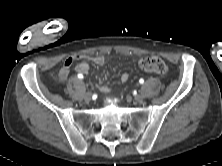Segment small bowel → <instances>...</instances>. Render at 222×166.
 <instances>
[{
	"label": "small bowel",
	"mask_w": 222,
	"mask_h": 166,
	"mask_svg": "<svg viewBox=\"0 0 222 166\" xmlns=\"http://www.w3.org/2000/svg\"><path fill=\"white\" fill-rule=\"evenodd\" d=\"M88 61L92 62L95 65L102 66L106 63V58L102 55H97V56H93V57H86V56H81V55L70 56L64 61V64L60 69V72H59L60 77L62 79H65L68 76V74L71 70V67L73 66V64L75 62H78L76 65V70L80 74L87 75L90 71ZM128 79H129V74L127 72H125L121 75L120 80L122 83L127 82ZM101 91L103 93H108L109 87L104 85L101 87Z\"/></svg>",
	"instance_id": "1"
}]
</instances>
